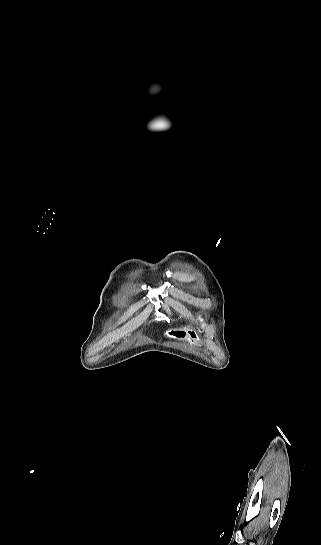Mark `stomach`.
Returning a JSON list of instances; mask_svg holds the SVG:
<instances>
[{
  "mask_svg": "<svg viewBox=\"0 0 321 545\" xmlns=\"http://www.w3.org/2000/svg\"><path fill=\"white\" fill-rule=\"evenodd\" d=\"M165 335L166 337H169V339H183V341L190 343V345H197L200 341L198 333H196L194 329H190V327L170 329V331H166Z\"/></svg>",
  "mask_w": 321,
  "mask_h": 545,
  "instance_id": "stomach-1",
  "label": "stomach"
}]
</instances>
